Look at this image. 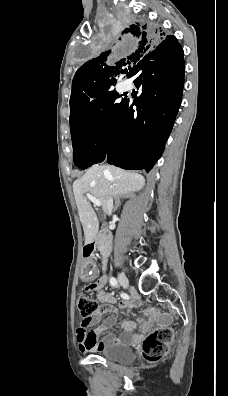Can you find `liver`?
<instances>
[{
	"label": "liver",
	"mask_w": 228,
	"mask_h": 396,
	"mask_svg": "<svg viewBox=\"0 0 228 396\" xmlns=\"http://www.w3.org/2000/svg\"><path fill=\"white\" fill-rule=\"evenodd\" d=\"M144 184V177L138 173L128 172L115 166L98 164L90 167L81 178L74 181L73 192L84 230L85 244L95 238L99 222L84 194L89 193L100 200L106 213L108 197H118L139 191Z\"/></svg>",
	"instance_id": "6515ba94"
}]
</instances>
